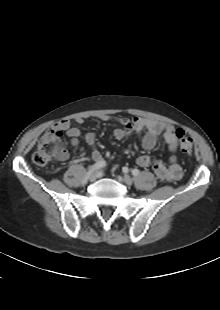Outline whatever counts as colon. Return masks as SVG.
<instances>
[{"mask_svg":"<svg viewBox=\"0 0 220 310\" xmlns=\"http://www.w3.org/2000/svg\"><path fill=\"white\" fill-rule=\"evenodd\" d=\"M175 135L180 150L185 154H190L193 150V142L191 138H189L181 129H177ZM65 152L63 132L52 129L41 137L32 158L34 163L44 166L63 156Z\"/></svg>","mask_w":220,"mask_h":310,"instance_id":"5ec220e1","label":"colon"}]
</instances>
